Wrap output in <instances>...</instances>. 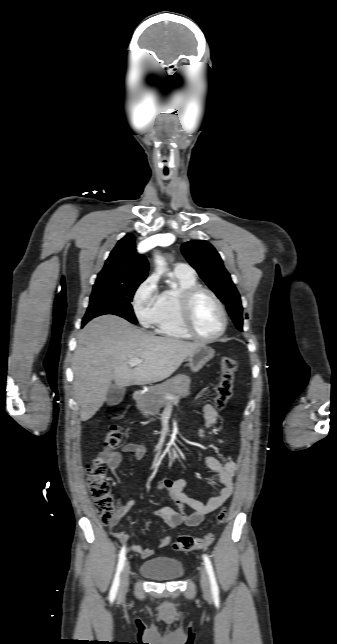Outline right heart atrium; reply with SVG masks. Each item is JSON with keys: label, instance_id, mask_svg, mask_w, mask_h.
I'll list each match as a JSON object with an SVG mask.
<instances>
[{"label": "right heart atrium", "instance_id": "right-heart-atrium-1", "mask_svg": "<svg viewBox=\"0 0 337 644\" xmlns=\"http://www.w3.org/2000/svg\"><path fill=\"white\" fill-rule=\"evenodd\" d=\"M159 297L157 279L148 277L136 290L133 298V307L140 323L146 327L154 324L159 311Z\"/></svg>", "mask_w": 337, "mask_h": 644}]
</instances>
